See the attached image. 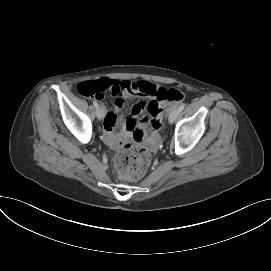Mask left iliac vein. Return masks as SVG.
<instances>
[{"mask_svg":"<svg viewBox=\"0 0 271 271\" xmlns=\"http://www.w3.org/2000/svg\"><path fill=\"white\" fill-rule=\"evenodd\" d=\"M179 113H180L179 108L173 109L171 113L169 114V118H168L169 122L173 123L177 119Z\"/></svg>","mask_w":271,"mask_h":271,"instance_id":"left-iliac-vein-1","label":"left iliac vein"}]
</instances>
